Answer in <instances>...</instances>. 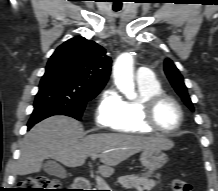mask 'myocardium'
Returning <instances> with one entry per match:
<instances>
[{"label": "myocardium", "mask_w": 218, "mask_h": 191, "mask_svg": "<svg viewBox=\"0 0 218 191\" xmlns=\"http://www.w3.org/2000/svg\"><path fill=\"white\" fill-rule=\"evenodd\" d=\"M170 101L175 105V107L178 109L179 112V124L171 130H166L161 128L155 119V112L157 106L162 102V101ZM142 120L144 124L150 128L151 130L165 134V135H171L177 133L183 126L184 123V110L181 106V104L172 96L167 95L163 92L153 94L151 96H148L143 99L142 101Z\"/></svg>", "instance_id": "myocardium-1"}]
</instances>
